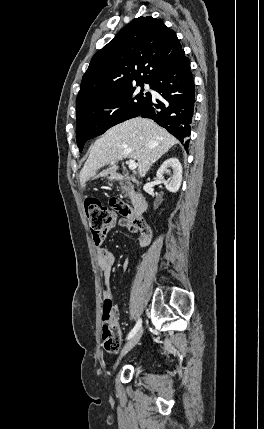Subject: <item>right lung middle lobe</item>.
I'll list each match as a JSON object with an SVG mask.
<instances>
[{
	"label": "right lung middle lobe",
	"instance_id": "dd1d6c3e",
	"mask_svg": "<svg viewBox=\"0 0 264 429\" xmlns=\"http://www.w3.org/2000/svg\"><path fill=\"white\" fill-rule=\"evenodd\" d=\"M129 87L76 107V140L81 152L85 142L103 134L110 127L136 117L151 98V94Z\"/></svg>",
	"mask_w": 264,
	"mask_h": 429
}]
</instances>
